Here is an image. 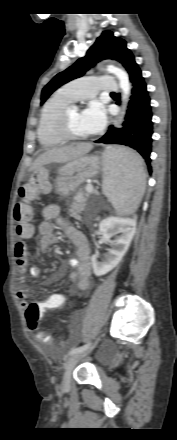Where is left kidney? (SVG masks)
Listing matches in <instances>:
<instances>
[{"label":"left kidney","mask_w":177,"mask_h":440,"mask_svg":"<svg viewBox=\"0 0 177 440\" xmlns=\"http://www.w3.org/2000/svg\"><path fill=\"white\" fill-rule=\"evenodd\" d=\"M99 226L102 231L99 244L110 242L112 248L108 249L103 261H98V254L92 255L91 261L96 276L105 275L119 264L133 239L136 223L130 219L108 217ZM112 236H115L113 242L110 240Z\"/></svg>","instance_id":"5707ae66"}]
</instances>
